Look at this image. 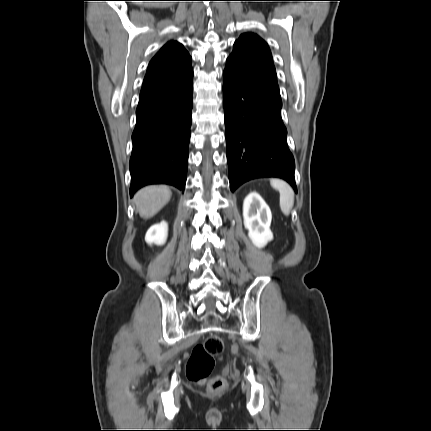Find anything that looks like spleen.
<instances>
[{"mask_svg":"<svg viewBox=\"0 0 431 431\" xmlns=\"http://www.w3.org/2000/svg\"><path fill=\"white\" fill-rule=\"evenodd\" d=\"M271 186L278 190L280 193V208L283 214L289 215L290 211L294 204V191L291 186L280 180V179H271Z\"/></svg>","mask_w":431,"mask_h":431,"instance_id":"obj_1","label":"spleen"}]
</instances>
